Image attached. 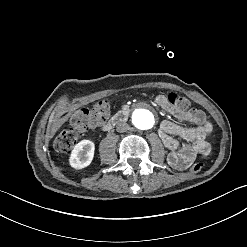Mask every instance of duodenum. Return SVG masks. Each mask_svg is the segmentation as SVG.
<instances>
[{
    "mask_svg": "<svg viewBox=\"0 0 247 247\" xmlns=\"http://www.w3.org/2000/svg\"><path fill=\"white\" fill-rule=\"evenodd\" d=\"M130 113V109L125 107L117 111L103 126L104 131H110L117 123L123 121Z\"/></svg>",
    "mask_w": 247,
    "mask_h": 247,
    "instance_id": "410a0bca",
    "label": "duodenum"
}]
</instances>
